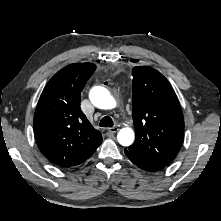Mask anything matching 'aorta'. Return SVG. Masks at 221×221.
Instances as JSON below:
<instances>
[{"instance_id":"obj_1","label":"aorta","mask_w":221,"mask_h":221,"mask_svg":"<svg viewBox=\"0 0 221 221\" xmlns=\"http://www.w3.org/2000/svg\"><path fill=\"white\" fill-rule=\"evenodd\" d=\"M89 97L92 104L97 108L109 110L116 106L114 97L104 87L96 86L92 88ZM134 138V131L129 127L122 128L117 134V140L122 146H130Z\"/></svg>"}]
</instances>
